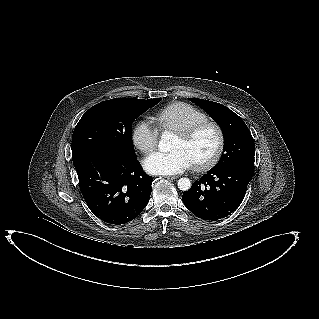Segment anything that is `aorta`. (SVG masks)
Returning <instances> with one entry per match:
<instances>
[{
    "label": "aorta",
    "instance_id": "obj_1",
    "mask_svg": "<svg viewBox=\"0 0 319 319\" xmlns=\"http://www.w3.org/2000/svg\"><path fill=\"white\" fill-rule=\"evenodd\" d=\"M171 134L164 132L161 140L159 141L158 147L161 152H168L171 150ZM178 188L182 191H187L191 188V182L188 178H180L178 180Z\"/></svg>",
    "mask_w": 319,
    "mask_h": 319
}]
</instances>
